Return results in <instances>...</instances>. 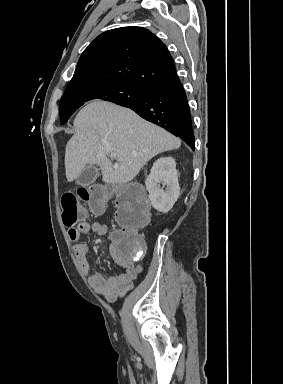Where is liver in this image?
<instances>
[{
	"label": "liver",
	"instance_id": "1",
	"mask_svg": "<svg viewBox=\"0 0 283 384\" xmlns=\"http://www.w3.org/2000/svg\"><path fill=\"white\" fill-rule=\"evenodd\" d=\"M75 134L65 150L68 182L81 176L87 164L100 166L106 184H127L151 158L178 150L181 140L163 128L142 120L129 108L92 100L78 112ZM110 154H116L113 166Z\"/></svg>",
	"mask_w": 283,
	"mask_h": 384
}]
</instances>
